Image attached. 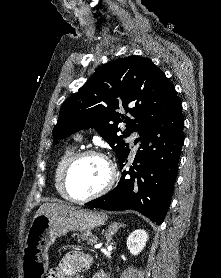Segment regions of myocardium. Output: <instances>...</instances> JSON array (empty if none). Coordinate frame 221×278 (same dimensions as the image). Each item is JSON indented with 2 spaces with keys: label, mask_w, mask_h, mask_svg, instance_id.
Instances as JSON below:
<instances>
[{
  "label": "myocardium",
  "mask_w": 221,
  "mask_h": 278,
  "mask_svg": "<svg viewBox=\"0 0 221 278\" xmlns=\"http://www.w3.org/2000/svg\"><path fill=\"white\" fill-rule=\"evenodd\" d=\"M87 156H95L103 160L107 166L108 169V178L105 182V184L96 192H93L85 197L82 198H76L71 195L69 191L68 186V177L69 173L73 167V165L80 159L87 157ZM117 179V170L115 167V164L113 161L103 152L96 150V149H84L81 151L76 152L74 155L71 156V158L66 163L63 173H62V188L65 194V197L75 203H84L88 202L92 199L98 198L102 196L103 194L107 193L115 184Z\"/></svg>",
  "instance_id": "1"
}]
</instances>
